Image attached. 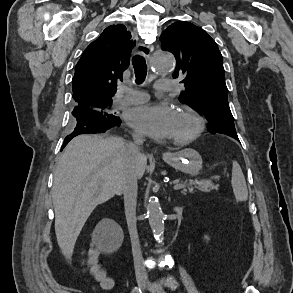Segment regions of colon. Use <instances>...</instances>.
<instances>
[{
	"mask_svg": "<svg viewBox=\"0 0 293 293\" xmlns=\"http://www.w3.org/2000/svg\"><path fill=\"white\" fill-rule=\"evenodd\" d=\"M97 250L88 248L85 257L82 261L83 272L94 280L102 289L106 290L108 284L105 272L100 268L97 263Z\"/></svg>",
	"mask_w": 293,
	"mask_h": 293,
	"instance_id": "5ec220e1",
	"label": "colon"
}]
</instances>
